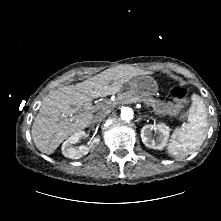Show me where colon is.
<instances>
[{"label": "colon", "mask_w": 221, "mask_h": 221, "mask_svg": "<svg viewBox=\"0 0 221 221\" xmlns=\"http://www.w3.org/2000/svg\"><path fill=\"white\" fill-rule=\"evenodd\" d=\"M170 96L176 101L185 103L187 91L183 87L176 86L170 90Z\"/></svg>", "instance_id": "obj_1"}]
</instances>
